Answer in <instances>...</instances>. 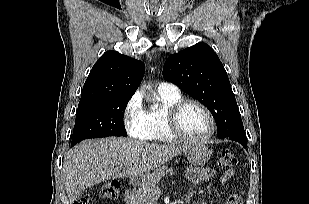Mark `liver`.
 Instances as JSON below:
<instances>
[{"instance_id":"1","label":"liver","mask_w":309,"mask_h":204,"mask_svg":"<svg viewBox=\"0 0 309 204\" xmlns=\"http://www.w3.org/2000/svg\"><path fill=\"white\" fill-rule=\"evenodd\" d=\"M190 145H158L130 138L90 139L73 147L64 159L63 178L71 202L78 188L138 177L185 152Z\"/></svg>"}]
</instances>
